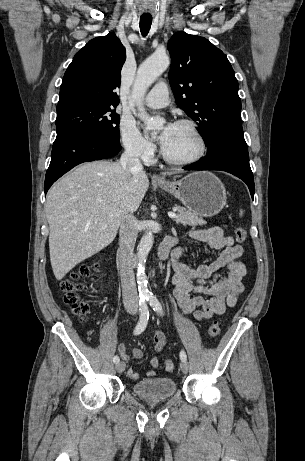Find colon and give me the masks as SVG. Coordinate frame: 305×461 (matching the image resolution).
Segmentation results:
<instances>
[{
  "mask_svg": "<svg viewBox=\"0 0 305 461\" xmlns=\"http://www.w3.org/2000/svg\"><path fill=\"white\" fill-rule=\"evenodd\" d=\"M234 235L237 243L241 244L245 242L247 235L243 227L237 226L234 230ZM97 266V263L84 264L77 271L73 272L68 279L61 283L64 304L67 305L81 321H86L89 315V305L81 296L84 289V284L81 280L90 277ZM219 334L220 325L217 321H214L209 326L208 335L210 338H216ZM163 366L167 372H172L175 369V363L170 359L165 360Z\"/></svg>",
  "mask_w": 305,
  "mask_h": 461,
  "instance_id": "obj_1",
  "label": "colon"
}]
</instances>
